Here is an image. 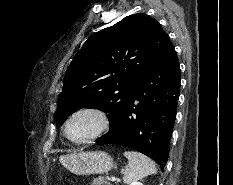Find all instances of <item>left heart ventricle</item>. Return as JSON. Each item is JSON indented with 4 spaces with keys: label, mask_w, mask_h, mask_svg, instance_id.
I'll return each instance as SVG.
<instances>
[{
    "label": "left heart ventricle",
    "mask_w": 233,
    "mask_h": 185,
    "mask_svg": "<svg viewBox=\"0 0 233 185\" xmlns=\"http://www.w3.org/2000/svg\"><path fill=\"white\" fill-rule=\"evenodd\" d=\"M99 126V119L93 114H80L73 118L69 126V135L75 140H81L92 135Z\"/></svg>",
    "instance_id": "b2bd125f"
}]
</instances>
